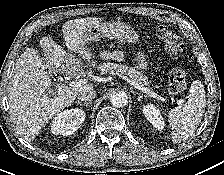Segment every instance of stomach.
Returning a JSON list of instances; mask_svg holds the SVG:
<instances>
[{"label":"stomach","instance_id":"0dacf381","mask_svg":"<svg viewBox=\"0 0 224 175\" xmlns=\"http://www.w3.org/2000/svg\"><path fill=\"white\" fill-rule=\"evenodd\" d=\"M89 41H99L101 37L118 40L122 43H136L138 39L137 33L131 26L122 22L108 21L102 22L91 28L86 33ZM100 58L103 60L117 59L112 54L105 52L100 53ZM136 66L140 69H147V62L143 53H138L136 58Z\"/></svg>","mask_w":224,"mask_h":175}]
</instances>
